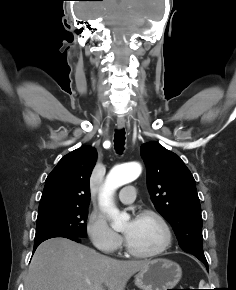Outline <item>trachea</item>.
Here are the masks:
<instances>
[{"label":"trachea","mask_w":236,"mask_h":290,"mask_svg":"<svg viewBox=\"0 0 236 290\" xmlns=\"http://www.w3.org/2000/svg\"><path fill=\"white\" fill-rule=\"evenodd\" d=\"M125 145V130H116L114 135V147L118 154H122Z\"/></svg>","instance_id":"3493384b"}]
</instances>
